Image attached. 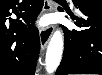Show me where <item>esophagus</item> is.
Returning a JSON list of instances; mask_svg holds the SVG:
<instances>
[{
  "instance_id": "esophagus-1",
  "label": "esophagus",
  "mask_w": 102,
  "mask_h": 75,
  "mask_svg": "<svg viewBox=\"0 0 102 75\" xmlns=\"http://www.w3.org/2000/svg\"><path fill=\"white\" fill-rule=\"evenodd\" d=\"M54 6L52 0H45L44 5H43V12H48V11H53ZM53 33V28L52 27H47V28H41L39 30V37H40V43H41V48L44 50L46 45L48 44L51 36Z\"/></svg>"
}]
</instances>
